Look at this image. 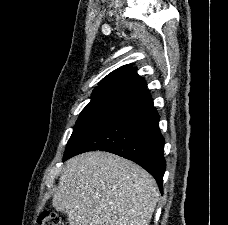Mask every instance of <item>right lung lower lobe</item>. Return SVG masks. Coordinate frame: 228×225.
Returning a JSON list of instances; mask_svg holds the SVG:
<instances>
[{"label": "right lung lower lobe", "mask_w": 228, "mask_h": 225, "mask_svg": "<svg viewBox=\"0 0 228 225\" xmlns=\"http://www.w3.org/2000/svg\"><path fill=\"white\" fill-rule=\"evenodd\" d=\"M93 150L111 152L142 166L163 194L164 138L159 115L146 89L92 129L63 160Z\"/></svg>", "instance_id": "right-lung-lower-lobe-1"}]
</instances>
